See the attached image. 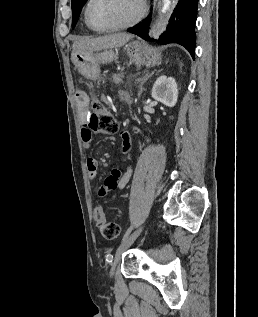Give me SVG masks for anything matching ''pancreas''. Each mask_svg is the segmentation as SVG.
<instances>
[{"instance_id":"obj_1","label":"pancreas","mask_w":258,"mask_h":317,"mask_svg":"<svg viewBox=\"0 0 258 317\" xmlns=\"http://www.w3.org/2000/svg\"><path fill=\"white\" fill-rule=\"evenodd\" d=\"M114 83L115 84H123L124 83V78L123 77H115L114 78ZM119 95L120 96H125L126 95V90L124 89V87H119Z\"/></svg>"}]
</instances>
